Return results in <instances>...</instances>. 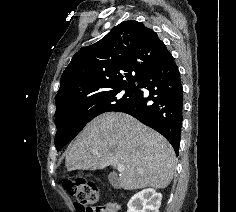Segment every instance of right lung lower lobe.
<instances>
[{
	"label": "right lung lower lobe",
	"instance_id": "right-lung-lower-lobe-1",
	"mask_svg": "<svg viewBox=\"0 0 236 212\" xmlns=\"http://www.w3.org/2000/svg\"><path fill=\"white\" fill-rule=\"evenodd\" d=\"M132 102L116 111L132 115L162 134L178 155L183 113V90L180 73L171 53L166 49L138 81Z\"/></svg>",
	"mask_w": 236,
	"mask_h": 212
}]
</instances>
